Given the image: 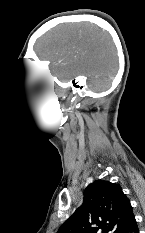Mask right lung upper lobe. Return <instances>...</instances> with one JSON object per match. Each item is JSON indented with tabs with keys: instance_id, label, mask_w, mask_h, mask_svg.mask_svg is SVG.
<instances>
[{
	"instance_id": "cb5924a9",
	"label": "right lung upper lobe",
	"mask_w": 145,
	"mask_h": 233,
	"mask_svg": "<svg viewBox=\"0 0 145 233\" xmlns=\"http://www.w3.org/2000/svg\"><path fill=\"white\" fill-rule=\"evenodd\" d=\"M133 217L130 201L121 187L96 180L85 189L82 206L57 233H121Z\"/></svg>"
}]
</instances>
